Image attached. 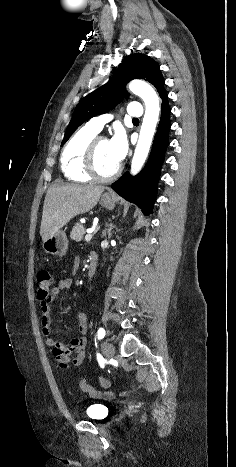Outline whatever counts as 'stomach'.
Segmentation results:
<instances>
[{"label":"stomach","mask_w":236,"mask_h":467,"mask_svg":"<svg viewBox=\"0 0 236 467\" xmlns=\"http://www.w3.org/2000/svg\"><path fill=\"white\" fill-rule=\"evenodd\" d=\"M100 203L103 207L112 210L115 207L116 200L109 194L101 197ZM43 250L52 255L64 256L68 249V239L64 231L59 230L54 235L47 238L42 243Z\"/></svg>","instance_id":"1"}]
</instances>
